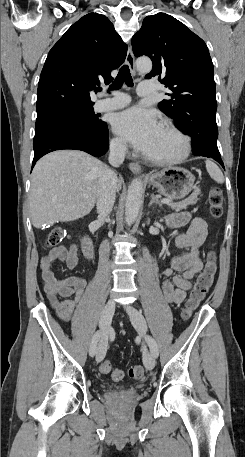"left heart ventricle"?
<instances>
[{
  "label": "left heart ventricle",
  "instance_id": "1",
  "mask_svg": "<svg viewBox=\"0 0 245 457\" xmlns=\"http://www.w3.org/2000/svg\"><path fill=\"white\" fill-rule=\"evenodd\" d=\"M178 146L179 140L161 128L155 141L145 150V153L151 155L170 154L176 152Z\"/></svg>",
  "mask_w": 245,
  "mask_h": 457
}]
</instances>
